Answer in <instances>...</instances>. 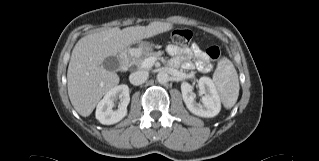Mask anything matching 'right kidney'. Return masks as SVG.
Wrapping results in <instances>:
<instances>
[{"mask_svg": "<svg viewBox=\"0 0 319 161\" xmlns=\"http://www.w3.org/2000/svg\"><path fill=\"white\" fill-rule=\"evenodd\" d=\"M120 99L117 109H113L115 101ZM130 102L129 88L122 84L109 90L96 108V119L101 124L111 125L121 121L127 115V106Z\"/></svg>", "mask_w": 319, "mask_h": 161, "instance_id": "1", "label": "right kidney"}]
</instances>
